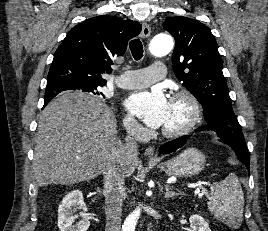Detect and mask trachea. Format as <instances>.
<instances>
[{"instance_id":"obj_1","label":"trachea","mask_w":268,"mask_h":231,"mask_svg":"<svg viewBox=\"0 0 268 231\" xmlns=\"http://www.w3.org/2000/svg\"><path fill=\"white\" fill-rule=\"evenodd\" d=\"M129 47L133 58L138 61L143 57V45L139 39H134L130 41Z\"/></svg>"}]
</instances>
